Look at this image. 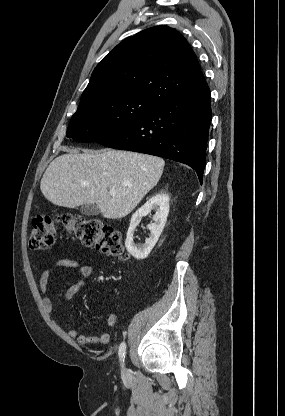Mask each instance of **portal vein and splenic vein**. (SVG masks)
<instances>
[{"label":"portal vein and splenic vein","instance_id":"1","mask_svg":"<svg viewBox=\"0 0 285 416\" xmlns=\"http://www.w3.org/2000/svg\"><path fill=\"white\" fill-rule=\"evenodd\" d=\"M110 196H117L116 190H109Z\"/></svg>","mask_w":285,"mask_h":416}]
</instances>
